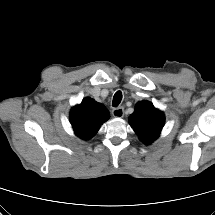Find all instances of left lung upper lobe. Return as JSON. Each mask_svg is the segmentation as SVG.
Segmentation results:
<instances>
[{"label":"left lung upper lobe","instance_id":"left-lung-upper-lobe-1","mask_svg":"<svg viewBox=\"0 0 215 215\" xmlns=\"http://www.w3.org/2000/svg\"><path fill=\"white\" fill-rule=\"evenodd\" d=\"M164 115L149 101L136 104L134 113L129 117V122L139 139L146 145L158 138L164 126Z\"/></svg>","mask_w":215,"mask_h":215}]
</instances>
